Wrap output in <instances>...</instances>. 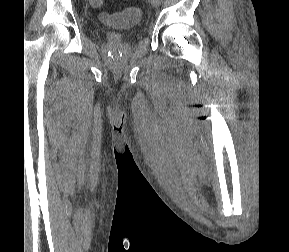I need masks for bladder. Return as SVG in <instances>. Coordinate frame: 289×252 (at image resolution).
Here are the masks:
<instances>
[{
  "label": "bladder",
  "instance_id": "bladder-1",
  "mask_svg": "<svg viewBox=\"0 0 289 252\" xmlns=\"http://www.w3.org/2000/svg\"><path fill=\"white\" fill-rule=\"evenodd\" d=\"M130 34L115 32V31H107L105 32V37L108 41L118 43L123 42L127 38H129Z\"/></svg>",
  "mask_w": 289,
  "mask_h": 252
}]
</instances>
